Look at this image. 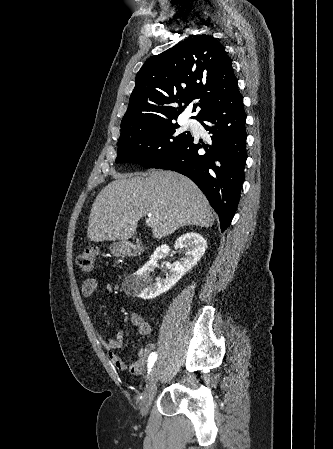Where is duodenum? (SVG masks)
<instances>
[{"label": "duodenum", "mask_w": 333, "mask_h": 449, "mask_svg": "<svg viewBox=\"0 0 333 449\" xmlns=\"http://www.w3.org/2000/svg\"><path fill=\"white\" fill-rule=\"evenodd\" d=\"M120 252L129 256H137L141 253V249L135 245L125 244L121 247Z\"/></svg>", "instance_id": "duodenum-1"}]
</instances>
